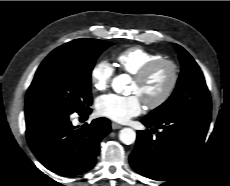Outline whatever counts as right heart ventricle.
Masks as SVG:
<instances>
[{
  "label": "right heart ventricle",
  "mask_w": 230,
  "mask_h": 186,
  "mask_svg": "<svg viewBox=\"0 0 230 186\" xmlns=\"http://www.w3.org/2000/svg\"><path fill=\"white\" fill-rule=\"evenodd\" d=\"M161 58L160 53L133 46L119 52L115 57V62L120 70L134 76L146 65Z\"/></svg>",
  "instance_id": "1"
}]
</instances>
